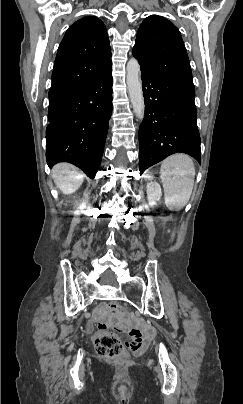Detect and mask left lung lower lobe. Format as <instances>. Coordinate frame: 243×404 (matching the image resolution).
Segmentation results:
<instances>
[{
  "instance_id": "1",
  "label": "left lung lower lobe",
  "mask_w": 243,
  "mask_h": 404,
  "mask_svg": "<svg viewBox=\"0 0 243 404\" xmlns=\"http://www.w3.org/2000/svg\"><path fill=\"white\" fill-rule=\"evenodd\" d=\"M141 79L145 117L139 128L140 174L177 152L201 163L193 81L143 68Z\"/></svg>"
}]
</instances>
